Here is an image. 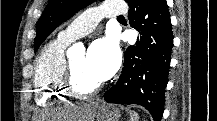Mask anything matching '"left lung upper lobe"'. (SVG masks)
Segmentation results:
<instances>
[{"instance_id":"1","label":"left lung upper lobe","mask_w":217,"mask_h":121,"mask_svg":"<svg viewBox=\"0 0 217 121\" xmlns=\"http://www.w3.org/2000/svg\"><path fill=\"white\" fill-rule=\"evenodd\" d=\"M93 1L50 0L37 23V34L34 44L35 52L56 27Z\"/></svg>"}]
</instances>
